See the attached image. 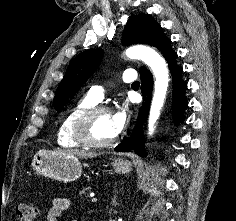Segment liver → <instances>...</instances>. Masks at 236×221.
Wrapping results in <instances>:
<instances>
[{
    "label": "liver",
    "instance_id": "6515ba94",
    "mask_svg": "<svg viewBox=\"0 0 236 221\" xmlns=\"http://www.w3.org/2000/svg\"><path fill=\"white\" fill-rule=\"evenodd\" d=\"M60 152L75 155L80 158H95L98 156V154H96V153L85 152L83 150H64V151H60Z\"/></svg>",
    "mask_w": 236,
    "mask_h": 221
}]
</instances>
